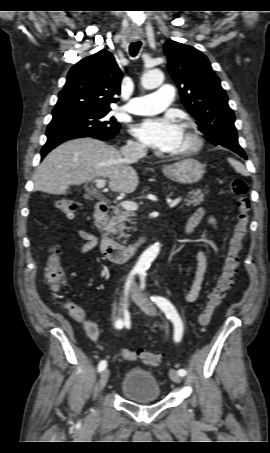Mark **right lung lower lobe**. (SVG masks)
Returning <instances> with one entry per match:
<instances>
[{"mask_svg": "<svg viewBox=\"0 0 270 453\" xmlns=\"http://www.w3.org/2000/svg\"><path fill=\"white\" fill-rule=\"evenodd\" d=\"M46 135L48 137V140L44 147L41 150V157L44 158V156L50 152L53 148L58 146L59 144L75 139V138H80V137H92L100 140H108L110 138H113L116 134L114 135H104L96 132H90V131H75V130H50L46 132Z\"/></svg>", "mask_w": 270, "mask_h": 453, "instance_id": "98d812e1", "label": "right lung lower lobe"}]
</instances>
